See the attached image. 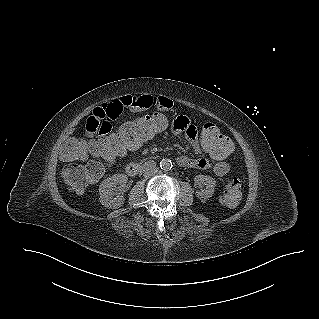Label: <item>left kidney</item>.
Masks as SVG:
<instances>
[{
    "label": "left kidney",
    "instance_id": "5707ae66",
    "mask_svg": "<svg viewBox=\"0 0 319 319\" xmlns=\"http://www.w3.org/2000/svg\"><path fill=\"white\" fill-rule=\"evenodd\" d=\"M194 181H195L196 185L202 184L205 186L204 189H201V191L196 192V196L200 200L206 201L207 199L212 197V195L214 193L215 183H216V181L212 177L205 176V175H197L194 178Z\"/></svg>",
    "mask_w": 319,
    "mask_h": 319
}]
</instances>
